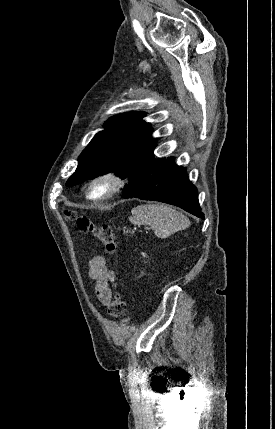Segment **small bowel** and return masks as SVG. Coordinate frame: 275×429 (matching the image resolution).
I'll list each match as a JSON object with an SVG mask.
<instances>
[{
  "instance_id": "1",
  "label": "small bowel",
  "mask_w": 275,
  "mask_h": 429,
  "mask_svg": "<svg viewBox=\"0 0 275 429\" xmlns=\"http://www.w3.org/2000/svg\"><path fill=\"white\" fill-rule=\"evenodd\" d=\"M89 277L94 284V292L103 305H109L112 299L111 284L115 281L114 273L108 268L106 259L96 256L89 262Z\"/></svg>"
}]
</instances>
